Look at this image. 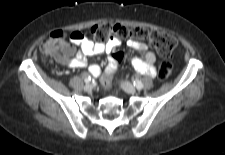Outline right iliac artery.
I'll list each match as a JSON object with an SVG mask.
<instances>
[{"label": "right iliac artery", "instance_id": "1", "mask_svg": "<svg viewBox=\"0 0 225 155\" xmlns=\"http://www.w3.org/2000/svg\"><path fill=\"white\" fill-rule=\"evenodd\" d=\"M84 81L85 83H89L91 81V77L90 76L86 77Z\"/></svg>", "mask_w": 225, "mask_h": 155}]
</instances>
